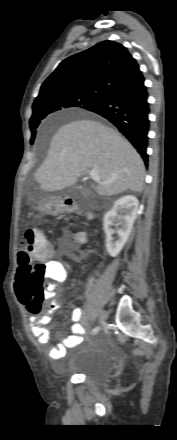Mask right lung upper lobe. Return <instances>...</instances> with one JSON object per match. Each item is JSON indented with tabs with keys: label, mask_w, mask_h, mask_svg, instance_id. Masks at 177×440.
<instances>
[{
	"label": "right lung upper lobe",
	"mask_w": 177,
	"mask_h": 440,
	"mask_svg": "<svg viewBox=\"0 0 177 440\" xmlns=\"http://www.w3.org/2000/svg\"><path fill=\"white\" fill-rule=\"evenodd\" d=\"M139 72L137 62L123 45L103 41L62 61L42 84L33 107L69 92L104 96Z\"/></svg>",
	"instance_id": "1"
}]
</instances>
